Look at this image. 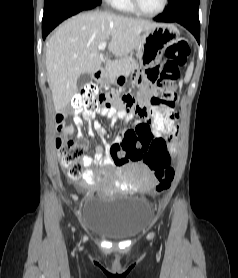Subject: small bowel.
<instances>
[{"mask_svg": "<svg viewBox=\"0 0 238 278\" xmlns=\"http://www.w3.org/2000/svg\"><path fill=\"white\" fill-rule=\"evenodd\" d=\"M144 76H146V81H149V85H159L157 76H161V64H150V67H146ZM140 84L143 87V93L140 95L138 103L137 100H122V105L125 106L122 108H117L113 104V100L110 97L101 96L99 98L102 106L98 109L97 112L102 116L109 118L113 124L119 120L130 121L134 117V114H137L144 119L137 124L135 129H128L121 132L112 144L106 141V131L103 126L100 124L99 121L94 119L95 112L88 113L84 110L75 109L73 122L79 130L78 138L81 140V144L84 146V148H87L88 146L87 141L83 138V134L81 132V129L84 125V119L92 121L93 129L98 133L102 141V146H97L95 148L93 157H83L82 162L84 166L91 167L98 164H111V160L104 155V150L110 151V148L113 144H119L127 141H131L133 144H141L140 137L153 136L151 138L150 144H167V147L169 149H173V154L177 152L179 145L176 141V128L171 135L165 136L156 133L153 134L152 127H144L148 125L147 116L140 115L138 113H152V105H147L148 98H152V93H149V87L144 81H140ZM65 119L66 114L64 112H60L56 115L58 130L61 131L63 135H71L74 132V128L72 126H66ZM152 173L153 172L150 170V174L145 179V186L148 189L153 188L156 183V178L153 177Z\"/></svg>", "mask_w": 238, "mask_h": 278, "instance_id": "c3829d8e", "label": "small bowel"}]
</instances>
